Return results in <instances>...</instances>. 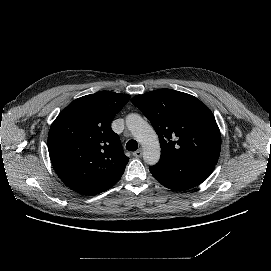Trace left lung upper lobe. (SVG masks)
<instances>
[{
  "mask_svg": "<svg viewBox=\"0 0 271 271\" xmlns=\"http://www.w3.org/2000/svg\"><path fill=\"white\" fill-rule=\"evenodd\" d=\"M132 103L159 136L161 154L216 164L221 135L214 115L199 99L172 89L136 95Z\"/></svg>",
  "mask_w": 271,
  "mask_h": 271,
  "instance_id": "obj_1",
  "label": "left lung upper lobe"
}]
</instances>
